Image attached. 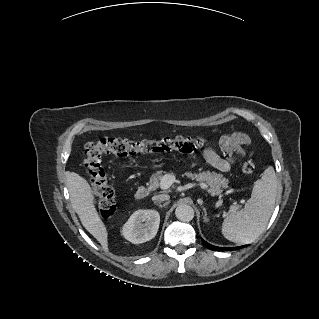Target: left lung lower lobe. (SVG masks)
I'll list each match as a JSON object with an SVG mask.
<instances>
[{
    "instance_id": "obj_1",
    "label": "left lung lower lobe",
    "mask_w": 319,
    "mask_h": 319,
    "mask_svg": "<svg viewBox=\"0 0 319 319\" xmlns=\"http://www.w3.org/2000/svg\"><path fill=\"white\" fill-rule=\"evenodd\" d=\"M202 243H203L204 246H206L208 249L214 250V251H232V250H235V248H226V247H216V246H213V245L207 243L206 241H204L203 239H202Z\"/></svg>"
}]
</instances>
